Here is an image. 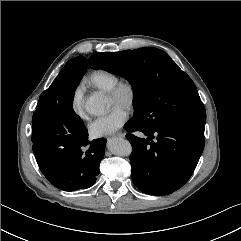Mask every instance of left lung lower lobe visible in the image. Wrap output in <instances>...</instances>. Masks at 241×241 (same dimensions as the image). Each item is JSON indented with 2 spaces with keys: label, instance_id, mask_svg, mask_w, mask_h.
<instances>
[{
  "label": "left lung lower lobe",
  "instance_id": "obj_1",
  "mask_svg": "<svg viewBox=\"0 0 241 241\" xmlns=\"http://www.w3.org/2000/svg\"><path fill=\"white\" fill-rule=\"evenodd\" d=\"M203 124L169 120L155 129L145 128L131 118L124 128L133 146L130 155L136 187L150 195H168L181 188L193 174L204 149ZM143 132L138 138L131 132ZM154 135L156 140L153 141Z\"/></svg>",
  "mask_w": 241,
  "mask_h": 241
}]
</instances>
